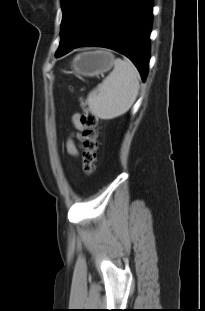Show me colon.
Returning a JSON list of instances; mask_svg holds the SVG:
<instances>
[{"label": "colon", "instance_id": "5ec220e1", "mask_svg": "<svg viewBox=\"0 0 205 311\" xmlns=\"http://www.w3.org/2000/svg\"><path fill=\"white\" fill-rule=\"evenodd\" d=\"M80 102L82 107L80 116L83 140L82 167L85 175L91 176L96 170L99 118L85 98L80 97Z\"/></svg>", "mask_w": 205, "mask_h": 311}]
</instances>
